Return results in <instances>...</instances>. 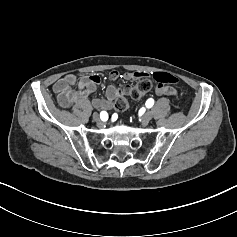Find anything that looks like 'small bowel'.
<instances>
[{
  "instance_id": "obj_1",
  "label": "small bowel",
  "mask_w": 237,
  "mask_h": 237,
  "mask_svg": "<svg viewBox=\"0 0 237 237\" xmlns=\"http://www.w3.org/2000/svg\"><path fill=\"white\" fill-rule=\"evenodd\" d=\"M148 74L140 71L120 74L118 71H111L109 77L113 81L119 79L137 80L145 77ZM101 83V78L98 75H88L78 79L74 74H67L54 83L52 89L57 96V102L62 108L78 107L79 116L85 117L88 115L91 107L100 111H108L114 107L115 100L121 94V90L111 85L106 90L105 98H94L90 102L87 97L93 93ZM155 93L162 95H175L176 90L164 84H158L155 88Z\"/></svg>"
}]
</instances>
